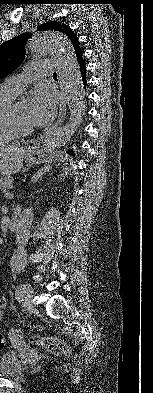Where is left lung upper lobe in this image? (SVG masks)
I'll return each instance as SVG.
<instances>
[{"mask_svg":"<svg viewBox=\"0 0 153 393\" xmlns=\"http://www.w3.org/2000/svg\"><path fill=\"white\" fill-rule=\"evenodd\" d=\"M39 30H54L63 33L69 38L75 52L81 50L78 37L71 30L69 25L60 21H50L38 26ZM31 34L23 33L0 45V79L12 73L24 60L25 43Z\"/></svg>","mask_w":153,"mask_h":393,"instance_id":"5c2ea615","label":"left lung upper lobe"}]
</instances>
